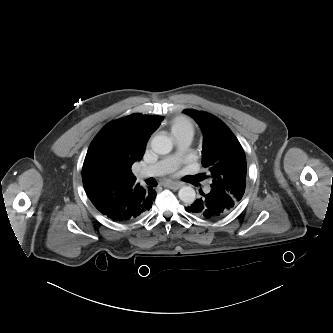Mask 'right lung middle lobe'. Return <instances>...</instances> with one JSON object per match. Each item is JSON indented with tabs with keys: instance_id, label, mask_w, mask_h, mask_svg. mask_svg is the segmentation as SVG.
<instances>
[{
	"instance_id": "1",
	"label": "right lung middle lobe",
	"mask_w": 333,
	"mask_h": 333,
	"mask_svg": "<svg viewBox=\"0 0 333 333\" xmlns=\"http://www.w3.org/2000/svg\"><path fill=\"white\" fill-rule=\"evenodd\" d=\"M127 170L131 172V168L130 167H128Z\"/></svg>"
}]
</instances>
